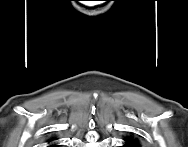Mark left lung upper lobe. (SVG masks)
I'll return each instance as SVG.
<instances>
[{"label": "left lung upper lobe", "mask_w": 188, "mask_h": 147, "mask_svg": "<svg viewBox=\"0 0 188 147\" xmlns=\"http://www.w3.org/2000/svg\"><path fill=\"white\" fill-rule=\"evenodd\" d=\"M124 141L126 147H139L140 145L138 139L133 138L132 136L125 138Z\"/></svg>", "instance_id": "obj_1"}]
</instances>
